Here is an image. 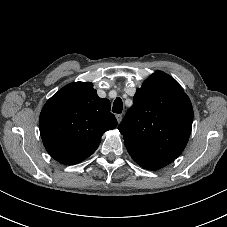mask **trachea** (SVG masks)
<instances>
[{
    "mask_svg": "<svg viewBox=\"0 0 227 227\" xmlns=\"http://www.w3.org/2000/svg\"><path fill=\"white\" fill-rule=\"evenodd\" d=\"M122 108H123L122 99L120 97H117L113 103L112 112L119 114L122 112Z\"/></svg>",
    "mask_w": 227,
    "mask_h": 227,
    "instance_id": "3493384b",
    "label": "trachea"
}]
</instances>
